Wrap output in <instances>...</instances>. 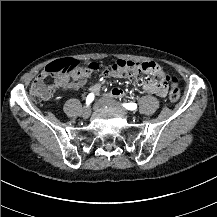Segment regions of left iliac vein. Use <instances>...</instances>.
I'll return each mask as SVG.
<instances>
[{
  "mask_svg": "<svg viewBox=\"0 0 217 217\" xmlns=\"http://www.w3.org/2000/svg\"><path fill=\"white\" fill-rule=\"evenodd\" d=\"M99 105L102 107H112V108H117V109H121L124 111L125 114H128L129 112L123 108H121L119 105L114 104L113 100L107 98V97H103L101 99H99L98 101Z\"/></svg>",
  "mask_w": 217,
  "mask_h": 217,
  "instance_id": "1",
  "label": "left iliac vein"
}]
</instances>
